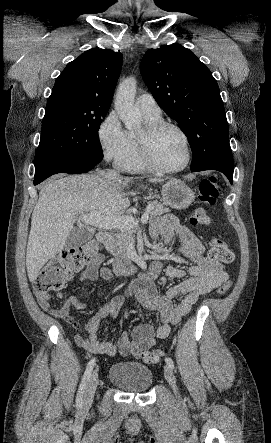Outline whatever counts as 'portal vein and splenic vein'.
I'll return each mask as SVG.
<instances>
[{"instance_id": "1", "label": "portal vein and splenic vein", "mask_w": 271, "mask_h": 443, "mask_svg": "<svg viewBox=\"0 0 271 443\" xmlns=\"http://www.w3.org/2000/svg\"><path fill=\"white\" fill-rule=\"evenodd\" d=\"M81 222L86 225H96L101 229H112V227H121V229H127V227H136L138 220L132 218V216H101L99 212H89V214H82L79 216ZM149 214H143L141 218L142 223L148 222Z\"/></svg>"}]
</instances>
